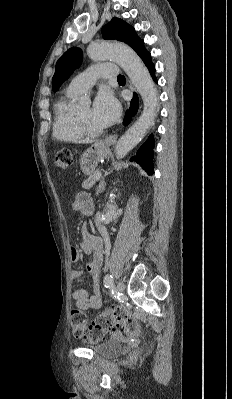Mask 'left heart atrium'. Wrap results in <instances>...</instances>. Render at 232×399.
Segmentation results:
<instances>
[{"label":"left heart atrium","instance_id":"obj_1","mask_svg":"<svg viewBox=\"0 0 232 399\" xmlns=\"http://www.w3.org/2000/svg\"><path fill=\"white\" fill-rule=\"evenodd\" d=\"M121 108L118 101L110 93H101L91 109V114L104 128L113 125L119 118Z\"/></svg>","mask_w":232,"mask_h":399}]
</instances>
